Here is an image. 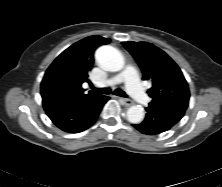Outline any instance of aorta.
Wrapping results in <instances>:
<instances>
[{
  "label": "aorta",
  "instance_id": "obj_1",
  "mask_svg": "<svg viewBox=\"0 0 222 187\" xmlns=\"http://www.w3.org/2000/svg\"><path fill=\"white\" fill-rule=\"evenodd\" d=\"M97 64L105 70L117 72L123 69L125 60L116 48L104 45L95 53ZM127 119L132 124H139L144 119V109L141 105H133L127 110Z\"/></svg>",
  "mask_w": 222,
  "mask_h": 187
}]
</instances>
